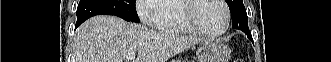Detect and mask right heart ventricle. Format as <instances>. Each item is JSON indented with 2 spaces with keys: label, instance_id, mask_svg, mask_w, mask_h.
<instances>
[{
  "label": "right heart ventricle",
  "instance_id": "e07e8e85",
  "mask_svg": "<svg viewBox=\"0 0 331 62\" xmlns=\"http://www.w3.org/2000/svg\"><path fill=\"white\" fill-rule=\"evenodd\" d=\"M156 28L165 33L193 34L182 16V1L163 0L156 10Z\"/></svg>",
  "mask_w": 331,
  "mask_h": 62
}]
</instances>
